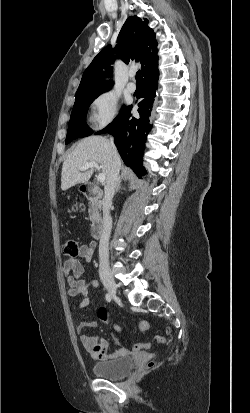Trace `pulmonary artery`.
I'll use <instances>...</instances> for the list:
<instances>
[{
	"instance_id": "e3ab8cb5",
	"label": "pulmonary artery",
	"mask_w": 250,
	"mask_h": 413,
	"mask_svg": "<svg viewBox=\"0 0 250 413\" xmlns=\"http://www.w3.org/2000/svg\"><path fill=\"white\" fill-rule=\"evenodd\" d=\"M130 81L127 83L126 87L129 92L136 91V84L133 82L134 72L129 73Z\"/></svg>"
}]
</instances>
